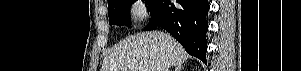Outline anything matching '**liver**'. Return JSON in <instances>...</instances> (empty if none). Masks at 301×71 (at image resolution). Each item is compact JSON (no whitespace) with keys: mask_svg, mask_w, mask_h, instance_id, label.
<instances>
[{"mask_svg":"<svg viewBox=\"0 0 301 71\" xmlns=\"http://www.w3.org/2000/svg\"><path fill=\"white\" fill-rule=\"evenodd\" d=\"M189 58L184 48L163 32H142L128 37L105 57L101 71H139L143 65L148 71H163L165 64L177 66Z\"/></svg>","mask_w":301,"mask_h":71,"instance_id":"1","label":"liver"}]
</instances>
